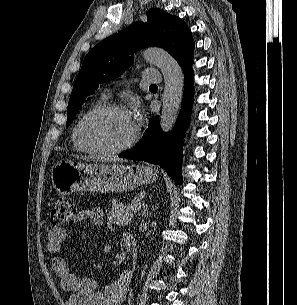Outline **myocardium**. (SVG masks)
Listing matches in <instances>:
<instances>
[{
  "instance_id": "myocardium-1",
  "label": "myocardium",
  "mask_w": 297,
  "mask_h": 305,
  "mask_svg": "<svg viewBox=\"0 0 297 305\" xmlns=\"http://www.w3.org/2000/svg\"><path fill=\"white\" fill-rule=\"evenodd\" d=\"M107 113H121V114H128V112L121 106L119 105H114V104H107V105H102L99 107H96L92 109L91 111L87 112L78 122L77 127H76V133L78 140L80 144L87 149L90 152L97 153V154H103V155H115V154H120L123 153L127 150H129L131 147L135 145L138 139V134L139 130L137 126H135V129L133 131V134L129 138L127 142H125L123 145H120L118 147L114 148H105L101 146H97L95 144H92L88 139L86 138L84 134V126L88 120L91 118L97 116V115H102V114H107Z\"/></svg>"
}]
</instances>
